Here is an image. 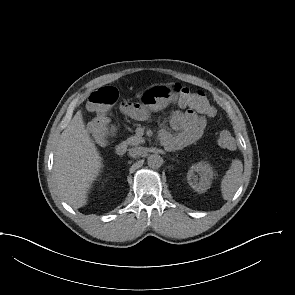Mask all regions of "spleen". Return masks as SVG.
Segmentation results:
<instances>
[{
	"instance_id": "obj_1",
	"label": "spleen",
	"mask_w": 295,
	"mask_h": 295,
	"mask_svg": "<svg viewBox=\"0 0 295 295\" xmlns=\"http://www.w3.org/2000/svg\"><path fill=\"white\" fill-rule=\"evenodd\" d=\"M242 172V162L239 159H234L221 181V192L225 200L231 199L237 191L241 181Z\"/></svg>"
}]
</instances>
